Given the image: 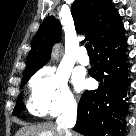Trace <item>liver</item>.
<instances>
[{
    "label": "liver",
    "mask_w": 136,
    "mask_h": 136,
    "mask_svg": "<svg viewBox=\"0 0 136 136\" xmlns=\"http://www.w3.org/2000/svg\"><path fill=\"white\" fill-rule=\"evenodd\" d=\"M64 133L59 131L52 123H43L22 127L15 136H61Z\"/></svg>",
    "instance_id": "1"
}]
</instances>
